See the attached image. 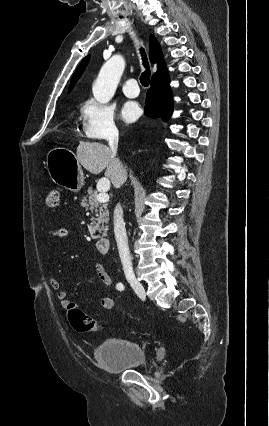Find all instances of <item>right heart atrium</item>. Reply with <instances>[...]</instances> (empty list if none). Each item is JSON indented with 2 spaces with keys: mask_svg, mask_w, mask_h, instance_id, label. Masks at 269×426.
Here are the masks:
<instances>
[{
  "mask_svg": "<svg viewBox=\"0 0 269 426\" xmlns=\"http://www.w3.org/2000/svg\"><path fill=\"white\" fill-rule=\"evenodd\" d=\"M80 129L89 139L104 140L117 136L119 127L113 107L94 98L85 100L81 106Z\"/></svg>",
  "mask_w": 269,
  "mask_h": 426,
  "instance_id": "right-heart-atrium-1",
  "label": "right heart atrium"
}]
</instances>
